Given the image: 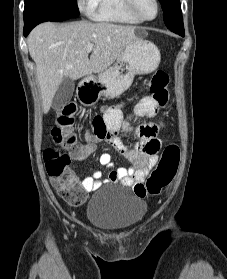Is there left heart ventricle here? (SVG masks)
Listing matches in <instances>:
<instances>
[{"instance_id":"obj_1","label":"left heart ventricle","mask_w":227,"mask_h":279,"mask_svg":"<svg viewBox=\"0 0 227 279\" xmlns=\"http://www.w3.org/2000/svg\"><path fill=\"white\" fill-rule=\"evenodd\" d=\"M138 12L146 18H152L156 13L153 0H135Z\"/></svg>"}]
</instances>
